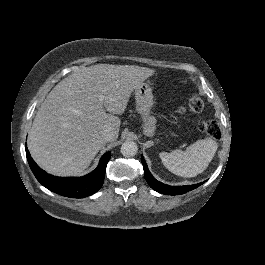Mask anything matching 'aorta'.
Segmentation results:
<instances>
[{
	"instance_id": "1",
	"label": "aorta",
	"mask_w": 265,
	"mask_h": 265,
	"mask_svg": "<svg viewBox=\"0 0 265 265\" xmlns=\"http://www.w3.org/2000/svg\"><path fill=\"white\" fill-rule=\"evenodd\" d=\"M138 152V144L133 141H125L121 146V153L126 157L135 156Z\"/></svg>"
}]
</instances>
